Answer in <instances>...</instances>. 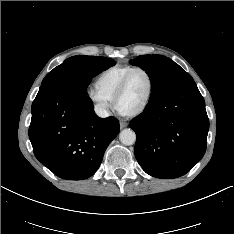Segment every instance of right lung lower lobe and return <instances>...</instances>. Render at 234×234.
I'll list each match as a JSON object with an SVG mask.
<instances>
[{"label": "right lung lower lobe", "instance_id": "obj_1", "mask_svg": "<svg viewBox=\"0 0 234 234\" xmlns=\"http://www.w3.org/2000/svg\"><path fill=\"white\" fill-rule=\"evenodd\" d=\"M31 111L35 157L63 179L92 176L119 133L118 120L98 118L86 92L68 78L41 85Z\"/></svg>", "mask_w": 234, "mask_h": 234}]
</instances>
